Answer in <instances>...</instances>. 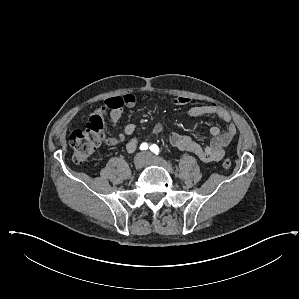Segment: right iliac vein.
<instances>
[{
	"label": "right iliac vein",
	"mask_w": 299,
	"mask_h": 299,
	"mask_svg": "<svg viewBox=\"0 0 299 299\" xmlns=\"http://www.w3.org/2000/svg\"><path fill=\"white\" fill-rule=\"evenodd\" d=\"M146 164V157L143 154H138L134 158V168L136 170L142 169Z\"/></svg>",
	"instance_id": "right-iliac-vein-1"
}]
</instances>
